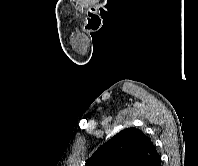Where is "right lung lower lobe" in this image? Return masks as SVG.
<instances>
[{
    "label": "right lung lower lobe",
    "instance_id": "obj_1",
    "mask_svg": "<svg viewBox=\"0 0 198 166\" xmlns=\"http://www.w3.org/2000/svg\"><path fill=\"white\" fill-rule=\"evenodd\" d=\"M150 166H161V158L158 156L155 160L152 161Z\"/></svg>",
    "mask_w": 198,
    "mask_h": 166
}]
</instances>
